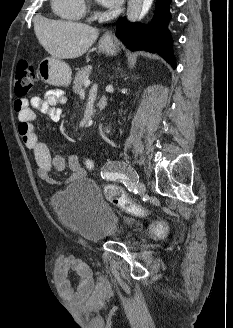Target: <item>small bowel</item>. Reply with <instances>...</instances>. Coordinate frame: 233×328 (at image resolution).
<instances>
[{"instance_id":"1","label":"small bowel","mask_w":233,"mask_h":328,"mask_svg":"<svg viewBox=\"0 0 233 328\" xmlns=\"http://www.w3.org/2000/svg\"><path fill=\"white\" fill-rule=\"evenodd\" d=\"M66 102V97L60 89L47 91L44 96H33L30 99L18 98L14 102V110L19 121L18 133L22 142L29 149L37 163V176L41 181L54 184L51 173L53 170L62 171L65 161L60 156H53L48 147L39 141L35 130V111H41L57 122L62 118V110L58 106ZM68 166L72 174L67 182H72L86 176V170L78 155L68 159ZM74 272L78 277L76 289H73L69 275ZM56 283L59 294L68 301L80 302L88 298L94 290L95 284L90 267L80 259L72 256H62L56 263Z\"/></svg>"}]
</instances>
